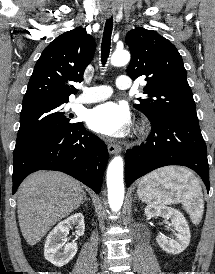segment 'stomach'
I'll list each match as a JSON object with an SVG mask.
<instances>
[{
  "mask_svg": "<svg viewBox=\"0 0 215 274\" xmlns=\"http://www.w3.org/2000/svg\"><path fill=\"white\" fill-rule=\"evenodd\" d=\"M137 193H138L139 198H140L142 201L147 202L146 196L142 193V189H141V188H139V189L137 190Z\"/></svg>",
  "mask_w": 215,
  "mask_h": 274,
  "instance_id": "0dacf381",
  "label": "stomach"
}]
</instances>
